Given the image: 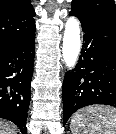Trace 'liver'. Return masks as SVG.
<instances>
[{
  "label": "liver",
  "mask_w": 116,
  "mask_h": 134,
  "mask_svg": "<svg viewBox=\"0 0 116 134\" xmlns=\"http://www.w3.org/2000/svg\"><path fill=\"white\" fill-rule=\"evenodd\" d=\"M0 134H17V128L8 122L0 121Z\"/></svg>",
  "instance_id": "6515ba94"
}]
</instances>
